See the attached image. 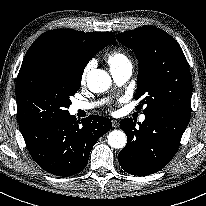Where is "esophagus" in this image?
Returning <instances> with one entry per match:
<instances>
[{
	"instance_id": "34e87169",
	"label": "esophagus",
	"mask_w": 206,
	"mask_h": 206,
	"mask_svg": "<svg viewBox=\"0 0 206 206\" xmlns=\"http://www.w3.org/2000/svg\"><path fill=\"white\" fill-rule=\"evenodd\" d=\"M112 125L116 128L119 126V122L117 120H112Z\"/></svg>"
}]
</instances>
